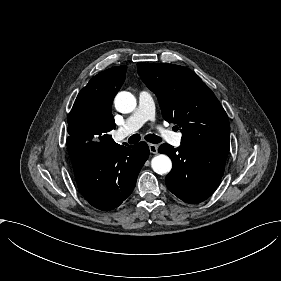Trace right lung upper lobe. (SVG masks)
<instances>
[{"label": "right lung upper lobe", "instance_id": "right-lung-upper-lobe-1", "mask_svg": "<svg viewBox=\"0 0 281 281\" xmlns=\"http://www.w3.org/2000/svg\"><path fill=\"white\" fill-rule=\"evenodd\" d=\"M126 69L123 65L102 71L80 91L68 116L69 149L78 144H116L108 134L115 128L112 101L125 80Z\"/></svg>", "mask_w": 281, "mask_h": 281}]
</instances>
